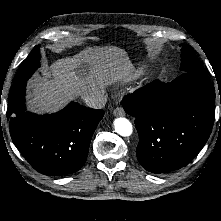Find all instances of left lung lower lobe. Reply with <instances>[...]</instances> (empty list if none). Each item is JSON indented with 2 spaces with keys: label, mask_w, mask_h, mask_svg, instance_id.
<instances>
[{
  "label": "left lung lower lobe",
  "mask_w": 221,
  "mask_h": 221,
  "mask_svg": "<svg viewBox=\"0 0 221 221\" xmlns=\"http://www.w3.org/2000/svg\"><path fill=\"white\" fill-rule=\"evenodd\" d=\"M214 102L207 75L192 72L170 83L155 80L127 95L122 105L135 117L139 163L157 174L189 164L210 136Z\"/></svg>",
  "instance_id": "0a47b994"
}]
</instances>
